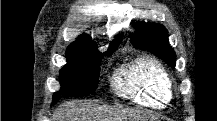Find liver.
I'll list each match as a JSON object with an SVG mask.
<instances>
[{
    "label": "liver",
    "mask_w": 217,
    "mask_h": 121,
    "mask_svg": "<svg viewBox=\"0 0 217 121\" xmlns=\"http://www.w3.org/2000/svg\"><path fill=\"white\" fill-rule=\"evenodd\" d=\"M119 113L112 108L69 101L55 110L52 121H121Z\"/></svg>",
    "instance_id": "liver-1"
}]
</instances>
